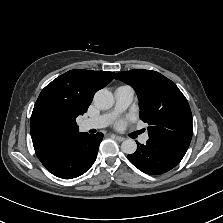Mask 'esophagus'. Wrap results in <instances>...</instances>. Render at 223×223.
<instances>
[{
    "instance_id": "34e87169",
    "label": "esophagus",
    "mask_w": 223,
    "mask_h": 223,
    "mask_svg": "<svg viewBox=\"0 0 223 223\" xmlns=\"http://www.w3.org/2000/svg\"><path fill=\"white\" fill-rule=\"evenodd\" d=\"M115 139H116L118 142H122V141L125 140L124 137H122V136H118V135L115 136Z\"/></svg>"
}]
</instances>
